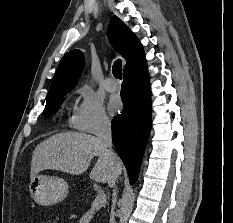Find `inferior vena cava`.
I'll return each mask as SVG.
<instances>
[{
	"mask_svg": "<svg viewBox=\"0 0 233 223\" xmlns=\"http://www.w3.org/2000/svg\"><path fill=\"white\" fill-rule=\"evenodd\" d=\"M97 137L99 143H101V145H104V147H106L105 151L110 159L109 165H115L117 155L116 153H114L112 149L111 123L109 117H100L98 121ZM110 187H113V193H112L113 199H112V211H111L109 223H115L114 209H115V203L117 197L116 181L115 183H113V185H110Z\"/></svg>",
	"mask_w": 233,
	"mask_h": 223,
	"instance_id": "inferior-vena-cava-1",
	"label": "inferior vena cava"
}]
</instances>
